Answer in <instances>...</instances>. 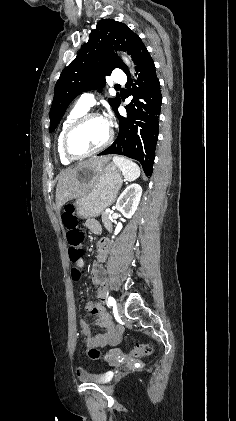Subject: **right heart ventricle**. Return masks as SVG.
Instances as JSON below:
<instances>
[{"label": "right heart ventricle", "instance_id": "e07e8e85", "mask_svg": "<svg viewBox=\"0 0 236 421\" xmlns=\"http://www.w3.org/2000/svg\"><path fill=\"white\" fill-rule=\"evenodd\" d=\"M85 112L84 109H82L81 107H79L78 105H76L65 117V119L63 120L58 136H57V152L59 155V159L61 161L62 164L68 165L70 164L73 160H70L63 152L62 149V139H63V135L65 133V130L67 129V127L70 125V123L75 120L78 116L82 115Z\"/></svg>", "mask_w": 236, "mask_h": 421}]
</instances>
